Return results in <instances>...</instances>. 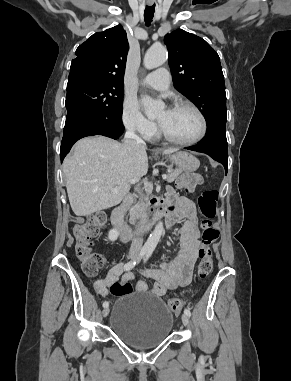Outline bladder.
Returning <instances> with one entry per match:
<instances>
[{
  "mask_svg": "<svg viewBox=\"0 0 291 381\" xmlns=\"http://www.w3.org/2000/svg\"><path fill=\"white\" fill-rule=\"evenodd\" d=\"M173 315L163 300L147 292L122 295L113 304L110 329L138 349L154 348L171 333Z\"/></svg>",
  "mask_w": 291,
  "mask_h": 381,
  "instance_id": "bladder-1",
  "label": "bladder"
}]
</instances>
